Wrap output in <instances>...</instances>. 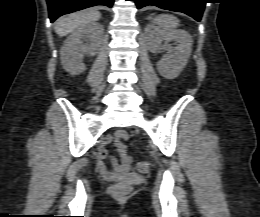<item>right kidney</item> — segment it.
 <instances>
[{
  "mask_svg": "<svg viewBox=\"0 0 260 217\" xmlns=\"http://www.w3.org/2000/svg\"><path fill=\"white\" fill-rule=\"evenodd\" d=\"M103 31V25L92 22L77 28L67 37L61 49V63L67 72L77 75L85 70L83 55L97 54Z\"/></svg>",
  "mask_w": 260,
  "mask_h": 217,
  "instance_id": "right-kidney-1",
  "label": "right kidney"
}]
</instances>
